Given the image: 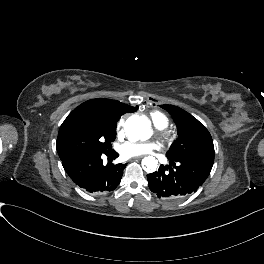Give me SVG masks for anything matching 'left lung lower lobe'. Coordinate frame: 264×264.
Here are the masks:
<instances>
[{
    "label": "left lung lower lobe",
    "instance_id": "1",
    "mask_svg": "<svg viewBox=\"0 0 264 264\" xmlns=\"http://www.w3.org/2000/svg\"><path fill=\"white\" fill-rule=\"evenodd\" d=\"M147 180L151 192L161 199L181 197L192 193L166 182L156 172L148 174Z\"/></svg>",
    "mask_w": 264,
    "mask_h": 264
}]
</instances>
